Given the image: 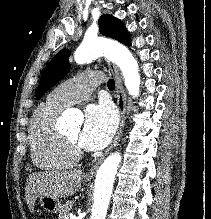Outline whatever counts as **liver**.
<instances>
[{
    "label": "liver",
    "instance_id": "6515ba94",
    "mask_svg": "<svg viewBox=\"0 0 211 219\" xmlns=\"http://www.w3.org/2000/svg\"><path fill=\"white\" fill-rule=\"evenodd\" d=\"M84 173L81 170L38 172L30 174L26 182V201L33 211L36 199L46 195L66 198L74 195L81 187Z\"/></svg>",
    "mask_w": 211,
    "mask_h": 219
}]
</instances>
